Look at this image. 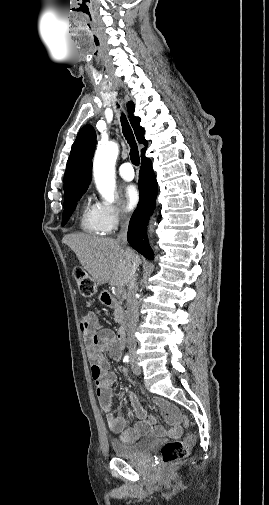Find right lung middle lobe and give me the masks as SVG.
<instances>
[{
    "mask_svg": "<svg viewBox=\"0 0 269 505\" xmlns=\"http://www.w3.org/2000/svg\"><path fill=\"white\" fill-rule=\"evenodd\" d=\"M85 193V191L80 192L76 195L71 196L70 198L64 200V212H63V219H62V226H64L68 219L70 218L72 212L74 211L77 201L82 197V195Z\"/></svg>",
    "mask_w": 269,
    "mask_h": 505,
    "instance_id": "obj_1",
    "label": "right lung middle lobe"
}]
</instances>
